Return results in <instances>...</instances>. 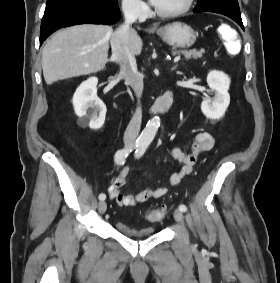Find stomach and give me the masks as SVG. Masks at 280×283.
<instances>
[{
  "instance_id": "1",
  "label": "stomach",
  "mask_w": 280,
  "mask_h": 283,
  "mask_svg": "<svg viewBox=\"0 0 280 283\" xmlns=\"http://www.w3.org/2000/svg\"><path fill=\"white\" fill-rule=\"evenodd\" d=\"M157 34L167 44L175 47H191L197 38V33L185 23L174 22L156 30Z\"/></svg>"
}]
</instances>
